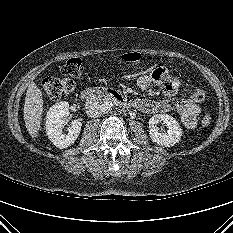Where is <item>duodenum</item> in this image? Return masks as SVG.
Wrapping results in <instances>:
<instances>
[{"label": "duodenum", "instance_id": "obj_1", "mask_svg": "<svg viewBox=\"0 0 233 233\" xmlns=\"http://www.w3.org/2000/svg\"><path fill=\"white\" fill-rule=\"evenodd\" d=\"M81 97L87 102L112 101L124 108L134 106V101L126 94L104 87L87 88L81 92Z\"/></svg>", "mask_w": 233, "mask_h": 233}]
</instances>
